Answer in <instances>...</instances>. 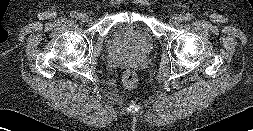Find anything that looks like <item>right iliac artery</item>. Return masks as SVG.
Returning a JSON list of instances; mask_svg holds the SVG:
<instances>
[{
  "label": "right iliac artery",
  "instance_id": "obj_1",
  "mask_svg": "<svg viewBox=\"0 0 253 131\" xmlns=\"http://www.w3.org/2000/svg\"><path fill=\"white\" fill-rule=\"evenodd\" d=\"M78 15H79V14H78V12H76V11H72V12L70 13V16L73 17V18H76Z\"/></svg>",
  "mask_w": 253,
  "mask_h": 131
}]
</instances>
